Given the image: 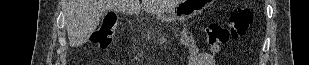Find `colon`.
Listing matches in <instances>:
<instances>
[{
    "instance_id": "obj_1",
    "label": "colon",
    "mask_w": 309,
    "mask_h": 65,
    "mask_svg": "<svg viewBox=\"0 0 309 65\" xmlns=\"http://www.w3.org/2000/svg\"><path fill=\"white\" fill-rule=\"evenodd\" d=\"M253 22V12L248 8H238L230 16L228 24L210 23L204 28L206 41L210 45L225 43L230 39L244 36ZM118 21L114 18L105 20L94 37L95 44L101 49L110 47L114 40Z\"/></svg>"
}]
</instances>
